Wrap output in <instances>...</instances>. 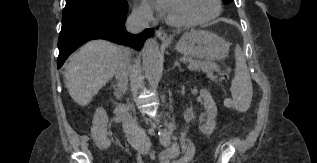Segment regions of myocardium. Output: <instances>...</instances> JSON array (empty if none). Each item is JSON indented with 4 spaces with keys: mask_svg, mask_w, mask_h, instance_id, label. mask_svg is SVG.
<instances>
[{
    "mask_svg": "<svg viewBox=\"0 0 317 163\" xmlns=\"http://www.w3.org/2000/svg\"><path fill=\"white\" fill-rule=\"evenodd\" d=\"M213 3H214L213 12L205 18H201V19H197V20L189 21V22H181V21H176L172 19L164 10V19L167 24L176 28H192L199 25H203L216 19L221 12V0H213Z\"/></svg>",
    "mask_w": 317,
    "mask_h": 163,
    "instance_id": "1",
    "label": "myocardium"
}]
</instances>
